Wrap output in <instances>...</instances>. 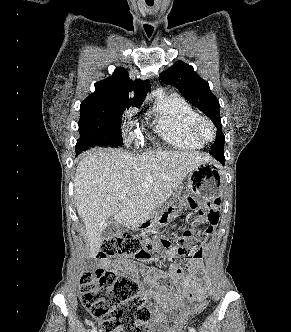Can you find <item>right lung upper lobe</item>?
<instances>
[{
	"label": "right lung upper lobe",
	"mask_w": 291,
	"mask_h": 332,
	"mask_svg": "<svg viewBox=\"0 0 291 332\" xmlns=\"http://www.w3.org/2000/svg\"><path fill=\"white\" fill-rule=\"evenodd\" d=\"M150 88L151 86L148 80L142 81L138 79L132 81L124 68H117L111 77L95 83V92L86 100L125 99L140 102L143 101ZM131 91L135 92L133 99H129L128 96Z\"/></svg>",
	"instance_id": "1"
}]
</instances>
